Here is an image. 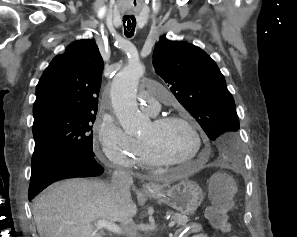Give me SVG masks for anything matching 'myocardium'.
Here are the masks:
<instances>
[{"mask_svg": "<svg viewBox=\"0 0 297 237\" xmlns=\"http://www.w3.org/2000/svg\"><path fill=\"white\" fill-rule=\"evenodd\" d=\"M152 122L156 126L165 125L168 123H182L190 129L197 144L196 152L191 157L183 160H170L166 158L164 155H162L160 152H158L151 144L141 140L140 142L143 145L149 160L153 163L154 166L184 165L189 162L195 161L200 157L202 147H203V140L197 127L190 119L181 115H164V116L154 117Z\"/></svg>", "mask_w": 297, "mask_h": 237, "instance_id": "1", "label": "myocardium"}]
</instances>
